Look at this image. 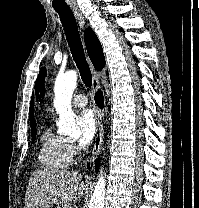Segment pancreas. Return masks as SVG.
I'll use <instances>...</instances> for the list:
<instances>
[{
	"label": "pancreas",
	"instance_id": "pancreas-1",
	"mask_svg": "<svg viewBox=\"0 0 199 208\" xmlns=\"http://www.w3.org/2000/svg\"><path fill=\"white\" fill-rule=\"evenodd\" d=\"M59 208H72L70 204H67V205H64L62 207H59Z\"/></svg>",
	"mask_w": 199,
	"mask_h": 208
}]
</instances>
